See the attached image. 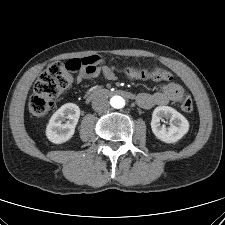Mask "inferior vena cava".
<instances>
[{
  "label": "inferior vena cava",
  "instance_id": "1",
  "mask_svg": "<svg viewBox=\"0 0 225 225\" xmlns=\"http://www.w3.org/2000/svg\"><path fill=\"white\" fill-rule=\"evenodd\" d=\"M92 108L96 112H106L109 110L110 105L104 96H97L92 101Z\"/></svg>",
  "mask_w": 225,
  "mask_h": 225
}]
</instances>
